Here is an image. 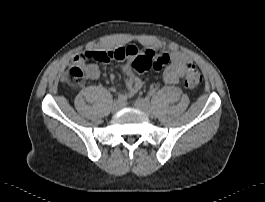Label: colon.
<instances>
[{
    "mask_svg": "<svg viewBox=\"0 0 265 202\" xmlns=\"http://www.w3.org/2000/svg\"><path fill=\"white\" fill-rule=\"evenodd\" d=\"M127 53L122 49L106 51L105 53H95L86 51L83 55L85 60H96L99 62L120 61L125 59ZM169 62V55L165 52L148 51L144 55L134 58L131 68L133 73L142 74L150 69H162ZM85 72L81 64L69 66L62 78V81L70 86H81L85 81ZM201 72L194 64H188L183 82L186 88L194 89L202 83Z\"/></svg>",
    "mask_w": 265,
    "mask_h": 202,
    "instance_id": "obj_1",
    "label": "colon"
}]
</instances>
